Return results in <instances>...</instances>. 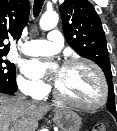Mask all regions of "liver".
<instances>
[{
	"instance_id": "6515ba94",
	"label": "liver",
	"mask_w": 117,
	"mask_h": 131,
	"mask_svg": "<svg viewBox=\"0 0 117 131\" xmlns=\"http://www.w3.org/2000/svg\"><path fill=\"white\" fill-rule=\"evenodd\" d=\"M50 108L0 94V131L11 126L10 131H36L38 121ZM63 108H55L58 112ZM7 128V131H8Z\"/></svg>"
}]
</instances>
